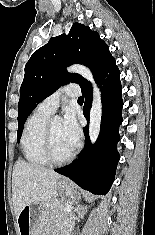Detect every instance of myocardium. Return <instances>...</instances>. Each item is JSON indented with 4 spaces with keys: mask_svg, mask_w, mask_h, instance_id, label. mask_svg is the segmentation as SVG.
Returning <instances> with one entry per match:
<instances>
[{
    "mask_svg": "<svg viewBox=\"0 0 155 235\" xmlns=\"http://www.w3.org/2000/svg\"><path fill=\"white\" fill-rule=\"evenodd\" d=\"M43 154L48 163L55 165H62L69 162L73 156L74 151L72 150L67 156L63 158H57L52 149V137H51V123L48 122L43 135Z\"/></svg>",
    "mask_w": 155,
    "mask_h": 235,
    "instance_id": "1",
    "label": "myocardium"
}]
</instances>
